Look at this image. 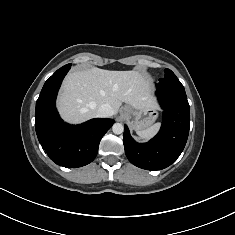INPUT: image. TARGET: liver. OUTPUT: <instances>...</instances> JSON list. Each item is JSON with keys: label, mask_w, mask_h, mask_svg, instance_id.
Segmentation results:
<instances>
[{"label": "liver", "mask_w": 235, "mask_h": 235, "mask_svg": "<svg viewBox=\"0 0 235 235\" xmlns=\"http://www.w3.org/2000/svg\"><path fill=\"white\" fill-rule=\"evenodd\" d=\"M125 102L134 108L155 106L149 81L138 71L91 68L69 73L58 97L62 118L72 124L97 117L103 104L116 114Z\"/></svg>", "instance_id": "1"}]
</instances>
